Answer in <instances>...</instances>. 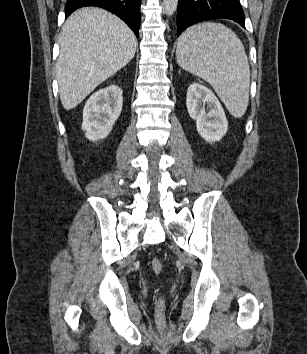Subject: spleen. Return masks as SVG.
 <instances>
[{"label": "spleen", "instance_id": "3e777b00", "mask_svg": "<svg viewBox=\"0 0 307 354\" xmlns=\"http://www.w3.org/2000/svg\"><path fill=\"white\" fill-rule=\"evenodd\" d=\"M180 67L208 82L228 111L241 118L248 106L250 67L236 34L218 23L189 27L178 39Z\"/></svg>", "mask_w": 307, "mask_h": 354}]
</instances>
